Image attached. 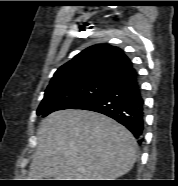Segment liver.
<instances>
[{
	"label": "liver",
	"instance_id": "liver-1",
	"mask_svg": "<svg viewBox=\"0 0 178 186\" xmlns=\"http://www.w3.org/2000/svg\"><path fill=\"white\" fill-rule=\"evenodd\" d=\"M137 156L133 135L115 120L86 110H61L45 117L37 131L30 180H115Z\"/></svg>",
	"mask_w": 178,
	"mask_h": 186
}]
</instances>
